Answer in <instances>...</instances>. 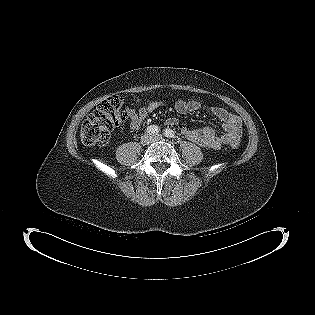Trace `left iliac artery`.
Returning <instances> with one entry per match:
<instances>
[{
	"label": "left iliac artery",
	"instance_id": "left-iliac-artery-1",
	"mask_svg": "<svg viewBox=\"0 0 315 315\" xmlns=\"http://www.w3.org/2000/svg\"><path fill=\"white\" fill-rule=\"evenodd\" d=\"M164 136L165 137H168V138H175V133H174V131L173 130H171V129H166V130H164Z\"/></svg>",
	"mask_w": 315,
	"mask_h": 315
}]
</instances>
